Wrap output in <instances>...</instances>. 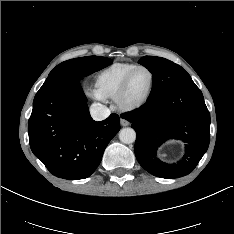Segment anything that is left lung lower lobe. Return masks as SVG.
I'll list each match as a JSON object with an SVG mask.
<instances>
[{
  "instance_id": "left-lung-lower-lobe-1",
  "label": "left lung lower lobe",
  "mask_w": 234,
  "mask_h": 234,
  "mask_svg": "<svg viewBox=\"0 0 234 234\" xmlns=\"http://www.w3.org/2000/svg\"><path fill=\"white\" fill-rule=\"evenodd\" d=\"M122 117L136 131L138 162L154 176L173 179L188 175L208 149L210 114L191 78L148 98L143 106ZM169 138L187 143L184 158L177 164H166L156 155L157 147Z\"/></svg>"
}]
</instances>
